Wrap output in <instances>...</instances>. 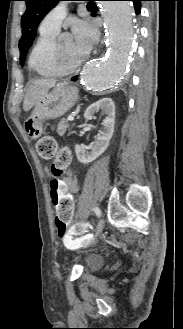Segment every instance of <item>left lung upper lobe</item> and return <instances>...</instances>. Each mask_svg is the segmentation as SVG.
I'll list each match as a JSON object with an SVG mask.
<instances>
[{
	"mask_svg": "<svg viewBox=\"0 0 183 329\" xmlns=\"http://www.w3.org/2000/svg\"><path fill=\"white\" fill-rule=\"evenodd\" d=\"M27 9L22 16V37L19 41L20 63L23 66L25 56L36 36V29L44 16L61 0H23Z\"/></svg>",
	"mask_w": 183,
	"mask_h": 329,
	"instance_id": "left-lung-upper-lobe-1",
	"label": "left lung upper lobe"
}]
</instances>
